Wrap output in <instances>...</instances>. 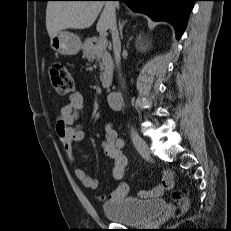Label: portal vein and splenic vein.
I'll use <instances>...</instances> for the list:
<instances>
[{
	"mask_svg": "<svg viewBox=\"0 0 231 231\" xmlns=\"http://www.w3.org/2000/svg\"><path fill=\"white\" fill-rule=\"evenodd\" d=\"M97 45L99 48H106L107 46V39L105 37V35L101 34L98 41H97Z\"/></svg>",
	"mask_w": 231,
	"mask_h": 231,
	"instance_id": "18ae733b",
	"label": "portal vein and splenic vein"
}]
</instances>
